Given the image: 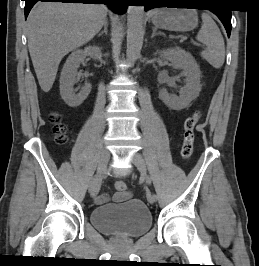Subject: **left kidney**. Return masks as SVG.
Listing matches in <instances>:
<instances>
[{"instance_id":"obj_1","label":"left kidney","mask_w":259,"mask_h":266,"mask_svg":"<svg viewBox=\"0 0 259 266\" xmlns=\"http://www.w3.org/2000/svg\"><path fill=\"white\" fill-rule=\"evenodd\" d=\"M160 56L173 63L176 68L182 69L186 76L185 86L180 95H171L166 89L159 91V98L171 109L182 110L196 99L201 91V71L194 57L180 47L168 48L160 52Z\"/></svg>"}]
</instances>
